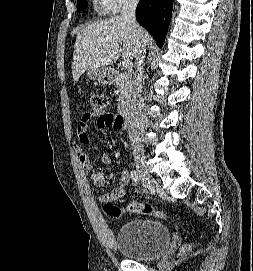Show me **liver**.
Masks as SVG:
<instances>
[{
	"label": "liver",
	"instance_id": "1",
	"mask_svg": "<svg viewBox=\"0 0 253 271\" xmlns=\"http://www.w3.org/2000/svg\"><path fill=\"white\" fill-rule=\"evenodd\" d=\"M148 42L149 37L144 32V44ZM121 54L124 60H131L138 54V40L134 29L121 16L82 27L77 32L74 46V82L78 81L85 71L106 67L115 62Z\"/></svg>",
	"mask_w": 253,
	"mask_h": 271
}]
</instances>
